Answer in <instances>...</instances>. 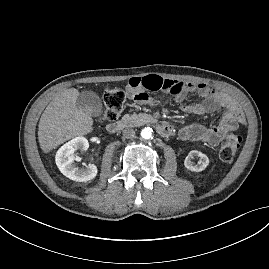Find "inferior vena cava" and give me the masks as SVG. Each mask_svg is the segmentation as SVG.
<instances>
[{"mask_svg": "<svg viewBox=\"0 0 269 269\" xmlns=\"http://www.w3.org/2000/svg\"><path fill=\"white\" fill-rule=\"evenodd\" d=\"M135 136V131L131 127H127L123 130V137L124 138H133Z\"/></svg>", "mask_w": 269, "mask_h": 269, "instance_id": "602c4592", "label": "inferior vena cava"}]
</instances>
